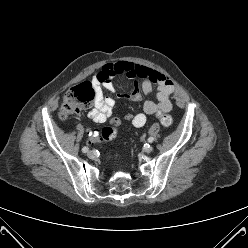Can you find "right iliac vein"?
<instances>
[{
	"label": "right iliac vein",
	"mask_w": 248,
	"mask_h": 248,
	"mask_svg": "<svg viewBox=\"0 0 248 248\" xmlns=\"http://www.w3.org/2000/svg\"><path fill=\"white\" fill-rule=\"evenodd\" d=\"M87 156H88L89 158L93 159V158L95 157V154H94L93 151L89 150V151L87 152Z\"/></svg>",
	"instance_id": "obj_1"
}]
</instances>
